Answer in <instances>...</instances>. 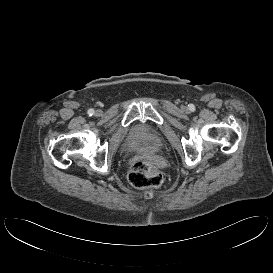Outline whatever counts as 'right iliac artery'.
Listing matches in <instances>:
<instances>
[{"label": "right iliac artery", "instance_id": "obj_1", "mask_svg": "<svg viewBox=\"0 0 273 273\" xmlns=\"http://www.w3.org/2000/svg\"><path fill=\"white\" fill-rule=\"evenodd\" d=\"M88 114H89V116H92L94 114V110L93 109H89L88 110Z\"/></svg>", "mask_w": 273, "mask_h": 273}]
</instances>
